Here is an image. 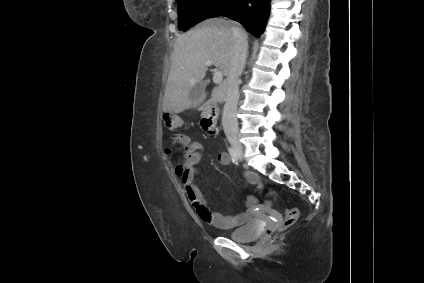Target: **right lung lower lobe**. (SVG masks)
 <instances>
[{
  "mask_svg": "<svg viewBox=\"0 0 424 283\" xmlns=\"http://www.w3.org/2000/svg\"><path fill=\"white\" fill-rule=\"evenodd\" d=\"M269 2L270 0H235L231 8L221 16L238 21L258 38L266 25Z\"/></svg>",
  "mask_w": 424,
  "mask_h": 283,
  "instance_id": "right-lung-lower-lobe-1",
  "label": "right lung lower lobe"
}]
</instances>
